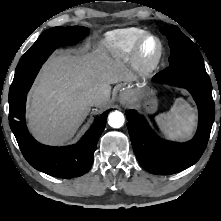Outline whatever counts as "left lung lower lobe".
I'll return each mask as SVG.
<instances>
[{"label":"left lung lower lobe","mask_w":221,"mask_h":221,"mask_svg":"<svg viewBox=\"0 0 221 221\" xmlns=\"http://www.w3.org/2000/svg\"><path fill=\"white\" fill-rule=\"evenodd\" d=\"M153 79L186 88L198 105V130L186 143L160 139L143 116L135 110L126 111L130 139L142 167L153 174H174L195 164L206 148L215 116L211 81L206 71L185 66H169Z\"/></svg>","instance_id":"0a47b994"}]
</instances>
